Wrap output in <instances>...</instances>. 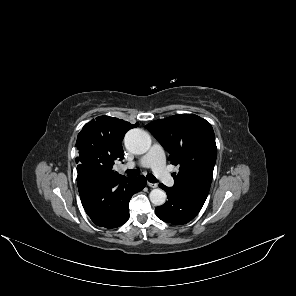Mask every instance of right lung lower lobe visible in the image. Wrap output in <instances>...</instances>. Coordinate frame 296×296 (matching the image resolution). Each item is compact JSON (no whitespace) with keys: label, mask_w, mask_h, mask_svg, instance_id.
<instances>
[{"label":"right lung lower lobe","mask_w":296,"mask_h":296,"mask_svg":"<svg viewBox=\"0 0 296 296\" xmlns=\"http://www.w3.org/2000/svg\"><path fill=\"white\" fill-rule=\"evenodd\" d=\"M77 184L82 205L91 220L108 229L123 225L129 218V201L146 186V178H103L83 164L77 166Z\"/></svg>","instance_id":"obj_1"}]
</instances>
